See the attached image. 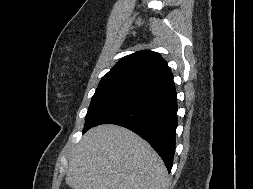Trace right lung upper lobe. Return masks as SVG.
I'll return each mask as SVG.
<instances>
[{"label":"right lung upper lobe","mask_w":253,"mask_h":189,"mask_svg":"<svg viewBox=\"0 0 253 189\" xmlns=\"http://www.w3.org/2000/svg\"><path fill=\"white\" fill-rule=\"evenodd\" d=\"M173 83L167 62L158 53L143 50L121 58L102 78L97 89L131 87L150 92Z\"/></svg>","instance_id":"cb5924a9"}]
</instances>
